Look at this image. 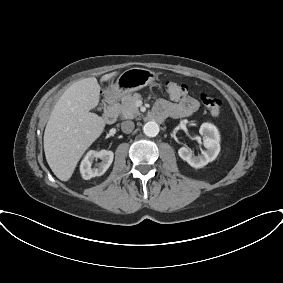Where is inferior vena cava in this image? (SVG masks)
Segmentation results:
<instances>
[{
  "label": "inferior vena cava",
  "instance_id": "602c4592",
  "mask_svg": "<svg viewBox=\"0 0 283 283\" xmlns=\"http://www.w3.org/2000/svg\"><path fill=\"white\" fill-rule=\"evenodd\" d=\"M135 124L131 120L123 121L121 123V129L124 133H131L134 130Z\"/></svg>",
  "mask_w": 283,
  "mask_h": 283
}]
</instances>
